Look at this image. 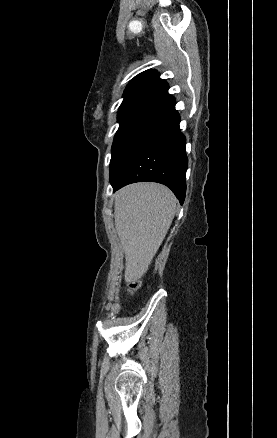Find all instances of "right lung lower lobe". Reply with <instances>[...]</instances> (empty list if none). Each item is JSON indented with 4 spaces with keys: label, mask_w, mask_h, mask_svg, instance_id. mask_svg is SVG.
<instances>
[{
    "label": "right lung lower lobe",
    "mask_w": 277,
    "mask_h": 438,
    "mask_svg": "<svg viewBox=\"0 0 277 438\" xmlns=\"http://www.w3.org/2000/svg\"><path fill=\"white\" fill-rule=\"evenodd\" d=\"M179 122V114L173 107L123 176L111 182L113 192L130 183L153 181L168 186L183 204L188 159L186 139L180 131Z\"/></svg>",
    "instance_id": "obj_1"
}]
</instances>
